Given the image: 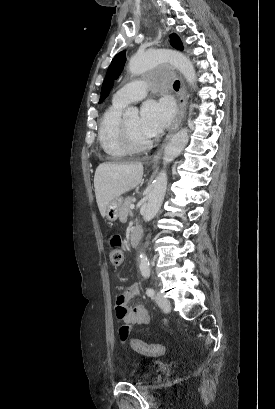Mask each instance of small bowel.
Masks as SVG:
<instances>
[{
	"mask_svg": "<svg viewBox=\"0 0 275 409\" xmlns=\"http://www.w3.org/2000/svg\"><path fill=\"white\" fill-rule=\"evenodd\" d=\"M120 294L116 300V305L114 306V313L117 318L123 320L121 322V333L122 335L118 339V346L127 347V336L125 334L130 333V326L128 323L134 326L146 325L150 322V314L146 306L142 303H136L132 306H126V304L131 301L140 293V285L134 283L131 286L124 288H119Z\"/></svg>",
	"mask_w": 275,
	"mask_h": 409,
	"instance_id": "small-bowel-1",
	"label": "small bowel"
}]
</instances>
